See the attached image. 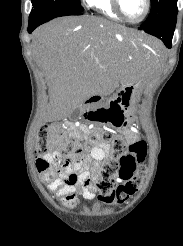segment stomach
<instances>
[{
  "label": "stomach",
  "mask_w": 183,
  "mask_h": 246,
  "mask_svg": "<svg viewBox=\"0 0 183 246\" xmlns=\"http://www.w3.org/2000/svg\"><path fill=\"white\" fill-rule=\"evenodd\" d=\"M142 47L147 52H152L154 49L145 42H133ZM143 82L138 80L131 84H126L120 88L116 94L109 98L104 108L99 110L100 122L107 123L114 128H123L131 123L130 114L133 110L132 100L135 89Z\"/></svg>",
  "instance_id": "1"
}]
</instances>
